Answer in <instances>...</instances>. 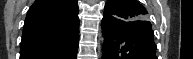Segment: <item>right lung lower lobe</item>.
<instances>
[{"instance_id":"right-lung-lower-lobe-1","label":"right lung lower lobe","mask_w":193,"mask_h":59,"mask_svg":"<svg viewBox=\"0 0 193 59\" xmlns=\"http://www.w3.org/2000/svg\"><path fill=\"white\" fill-rule=\"evenodd\" d=\"M78 41L79 35L51 52L20 55V59H76Z\"/></svg>"}]
</instances>
